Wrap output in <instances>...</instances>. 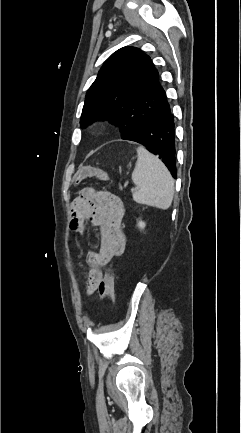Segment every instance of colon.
<instances>
[{
	"label": "colon",
	"mask_w": 241,
	"mask_h": 433,
	"mask_svg": "<svg viewBox=\"0 0 241 433\" xmlns=\"http://www.w3.org/2000/svg\"><path fill=\"white\" fill-rule=\"evenodd\" d=\"M94 175L103 176L104 171L94 170L93 168H78L77 173L74 174V179L80 181L83 177H93ZM89 286L98 290L105 305L108 308L112 307L114 300V287H115V274L113 270L107 271L104 275L94 273L89 279Z\"/></svg>",
	"instance_id": "5ec220e1"
}]
</instances>
